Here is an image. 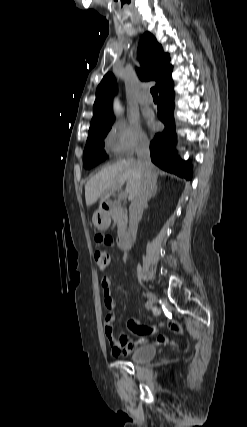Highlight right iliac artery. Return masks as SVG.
Wrapping results in <instances>:
<instances>
[{"instance_id": "82829eb1", "label": "right iliac artery", "mask_w": 247, "mask_h": 427, "mask_svg": "<svg viewBox=\"0 0 247 427\" xmlns=\"http://www.w3.org/2000/svg\"><path fill=\"white\" fill-rule=\"evenodd\" d=\"M145 306H146V308H147V309H149V308H151L152 304H151L150 302H147V303L145 304Z\"/></svg>"}]
</instances>
